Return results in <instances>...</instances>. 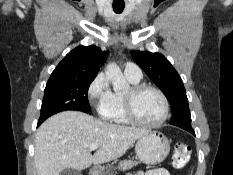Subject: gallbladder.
<instances>
[{"instance_id": "1", "label": "gallbladder", "mask_w": 233, "mask_h": 175, "mask_svg": "<svg viewBox=\"0 0 233 175\" xmlns=\"http://www.w3.org/2000/svg\"><path fill=\"white\" fill-rule=\"evenodd\" d=\"M60 175H82L80 170H76V169H64Z\"/></svg>"}]
</instances>
